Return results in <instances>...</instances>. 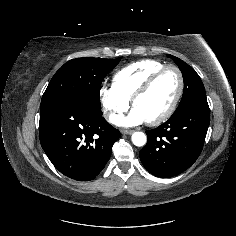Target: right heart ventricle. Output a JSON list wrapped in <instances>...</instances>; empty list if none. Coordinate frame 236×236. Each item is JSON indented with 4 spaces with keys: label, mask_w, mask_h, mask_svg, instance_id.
<instances>
[{
    "label": "right heart ventricle",
    "mask_w": 236,
    "mask_h": 236,
    "mask_svg": "<svg viewBox=\"0 0 236 236\" xmlns=\"http://www.w3.org/2000/svg\"><path fill=\"white\" fill-rule=\"evenodd\" d=\"M164 66L163 62L151 59L129 64L114 74L113 86L123 96L131 100L144 82Z\"/></svg>",
    "instance_id": "right-heart-ventricle-1"
}]
</instances>
